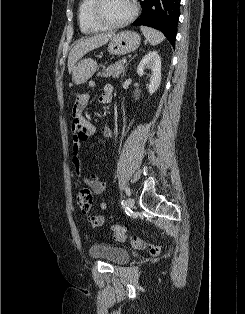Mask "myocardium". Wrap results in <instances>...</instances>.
Listing matches in <instances>:
<instances>
[{"label": "myocardium", "instance_id": "obj_1", "mask_svg": "<svg viewBox=\"0 0 245 314\" xmlns=\"http://www.w3.org/2000/svg\"><path fill=\"white\" fill-rule=\"evenodd\" d=\"M102 0H94L93 6H92V17L94 21L102 26L104 29H117L122 28L130 24L138 15V5L136 0H131L132 4V12L131 14L124 19L123 21L116 22V23H110L105 21L100 14Z\"/></svg>", "mask_w": 245, "mask_h": 314}]
</instances>
